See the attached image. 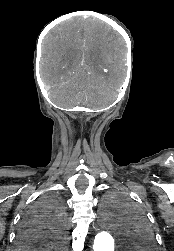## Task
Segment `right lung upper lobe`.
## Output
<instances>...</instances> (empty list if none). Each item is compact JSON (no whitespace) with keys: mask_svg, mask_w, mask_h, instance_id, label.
I'll return each instance as SVG.
<instances>
[{"mask_svg":"<svg viewBox=\"0 0 174 251\" xmlns=\"http://www.w3.org/2000/svg\"><path fill=\"white\" fill-rule=\"evenodd\" d=\"M45 248H48V247H46V246H43V247H40V246L33 247V249H38V250H42V249H45Z\"/></svg>","mask_w":174,"mask_h":251,"instance_id":"obj_1","label":"right lung upper lobe"}]
</instances>
